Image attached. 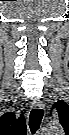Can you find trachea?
<instances>
[{
	"label": "trachea",
	"instance_id": "3493384b",
	"mask_svg": "<svg viewBox=\"0 0 69 135\" xmlns=\"http://www.w3.org/2000/svg\"><path fill=\"white\" fill-rule=\"evenodd\" d=\"M43 115H44L43 109H33L30 112L29 128L32 134H34L39 129Z\"/></svg>",
	"mask_w": 69,
	"mask_h": 135
}]
</instances>
